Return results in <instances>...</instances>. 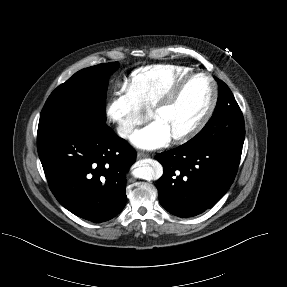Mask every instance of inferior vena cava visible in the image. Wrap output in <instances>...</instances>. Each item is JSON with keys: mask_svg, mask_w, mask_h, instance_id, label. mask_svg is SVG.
<instances>
[{"mask_svg": "<svg viewBox=\"0 0 287 287\" xmlns=\"http://www.w3.org/2000/svg\"><path fill=\"white\" fill-rule=\"evenodd\" d=\"M134 126L132 124L121 125L117 127V133L120 137L126 138L132 133Z\"/></svg>", "mask_w": 287, "mask_h": 287, "instance_id": "inferior-vena-cava-1", "label": "inferior vena cava"}]
</instances>
